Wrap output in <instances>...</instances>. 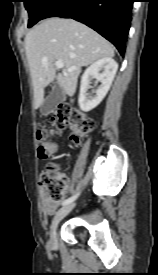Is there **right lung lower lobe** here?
<instances>
[{
	"mask_svg": "<svg viewBox=\"0 0 158 275\" xmlns=\"http://www.w3.org/2000/svg\"><path fill=\"white\" fill-rule=\"evenodd\" d=\"M133 2L134 0H57L42 19L62 17L82 22L112 42L123 55Z\"/></svg>",
	"mask_w": 158,
	"mask_h": 275,
	"instance_id": "1",
	"label": "right lung lower lobe"
}]
</instances>
